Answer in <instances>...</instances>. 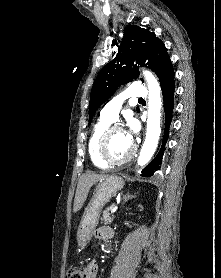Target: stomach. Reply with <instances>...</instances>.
<instances>
[{
	"label": "stomach",
	"instance_id": "1",
	"mask_svg": "<svg viewBox=\"0 0 221 278\" xmlns=\"http://www.w3.org/2000/svg\"><path fill=\"white\" fill-rule=\"evenodd\" d=\"M123 187L124 180L117 175L107 176L98 183L91 200L85 207L77 231V242L81 248H84L90 241L104 205Z\"/></svg>",
	"mask_w": 221,
	"mask_h": 278
}]
</instances>
